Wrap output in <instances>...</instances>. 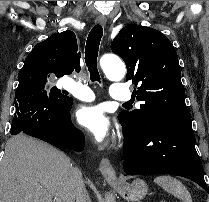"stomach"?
I'll use <instances>...</instances> for the list:
<instances>
[{
    "label": "stomach",
    "instance_id": "obj_1",
    "mask_svg": "<svg viewBox=\"0 0 209 202\" xmlns=\"http://www.w3.org/2000/svg\"><path fill=\"white\" fill-rule=\"evenodd\" d=\"M110 184L127 201L138 202L148 192L147 184L141 179H135L131 184L117 183L110 180Z\"/></svg>",
    "mask_w": 209,
    "mask_h": 202
}]
</instances>
